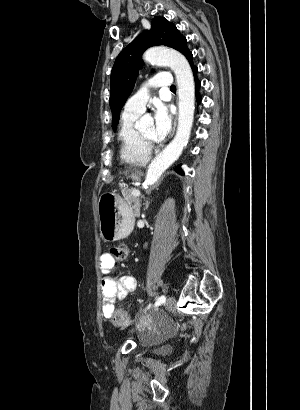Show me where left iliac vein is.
<instances>
[{
  "label": "left iliac vein",
  "instance_id": "1",
  "mask_svg": "<svg viewBox=\"0 0 300 410\" xmlns=\"http://www.w3.org/2000/svg\"><path fill=\"white\" fill-rule=\"evenodd\" d=\"M175 306H176V299L172 296L169 297L166 301L165 309L166 310H172V309L175 308Z\"/></svg>",
  "mask_w": 300,
  "mask_h": 410
}]
</instances>
